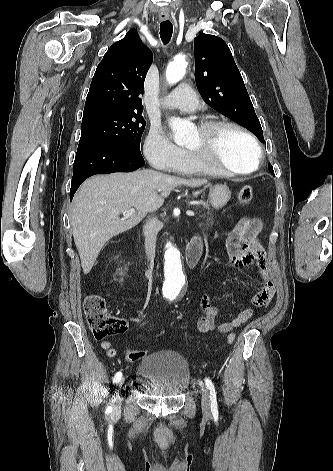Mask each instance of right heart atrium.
<instances>
[{
  "label": "right heart atrium",
  "instance_id": "right-heart-atrium-1",
  "mask_svg": "<svg viewBox=\"0 0 333 471\" xmlns=\"http://www.w3.org/2000/svg\"><path fill=\"white\" fill-rule=\"evenodd\" d=\"M144 154L150 164L162 171H175L184 161L186 152L175 145L156 126L151 127L144 142Z\"/></svg>",
  "mask_w": 333,
  "mask_h": 471
}]
</instances>
